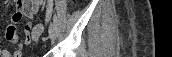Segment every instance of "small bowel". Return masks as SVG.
Wrapping results in <instances>:
<instances>
[{"instance_id":"small-bowel-1","label":"small bowel","mask_w":172,"mask_h":57,"mask_svg":"<svg viewBox=\"0 0 172 57\" xmlns=\"http://www.w3.org/2000/svg\"><path fill=\"white\" fill-rule=\"evenodd\" d=\"M41 0H23L18 2L17 9L11 15V20L6 27V38L17 45V48L10 52L6 49L0 48L1 57H20L24 46L28 45L31 41H37L41 33L32 30L31 20L34 15L39 11L43 5ZM27 18L30 21L24 26V34L22 36L17 33V24L23 19Z\"/></svg>"}]
</instances>
